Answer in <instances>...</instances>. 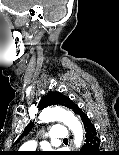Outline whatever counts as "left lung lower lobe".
<instances>
[{
  "label": "left lung lower lobe",
  "instance_id": "obj_1",
  "mask_svg": "<svg viewBox=\"0 0 119 155\" xmlns=\"http://www.w3.org/2000/svg\"><path fill=\"white\" fill-rule=\"evenodd\" d=\"M73 111L80 117L85 130V144L82 150L75 155H101L100 139L97 135L96 128L91 123L88 116L83 113L77 105L74 107Z\"/></svg>",
  "mask_w": 119,
  "mask_h": 155
}]
</instances>
